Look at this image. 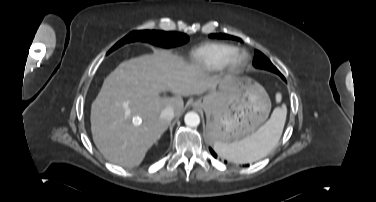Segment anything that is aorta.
<instances>
[{
  "mask_svg": "<svg viewBox=\"0 0 376 202\" xmlns=\"http://www.w3.org/2000/svg\"><path fill=\"white\" fill-rule=\"evenodd\" d=\"M185 124L190 127H197L200 124V116L196 112H188L184 117Z\"/></svg>",
  "mask_w": 376,
  "mask_h": 202,
  "instance_id": "1",
  "label": "aorta"
}]
</instances>
